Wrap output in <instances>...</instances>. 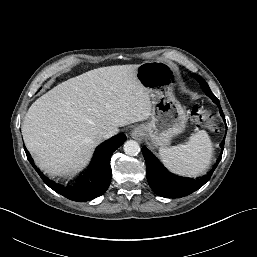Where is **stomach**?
I'll list each match as a JSON object with an SVG mask.
<instances>
[{
	"label": "stomach",
	"instance_id": "obj_1",
	"mask_svg": "<svg viewBox=\"0 0 257 257\" xmlns=\"http://www.w3.org/2000/svg\"><path fill=\"white\" fill-rule=\"evenodd\" d=\"M136 77L150 91L153 104L149 121L136 129L154 147H168L172 138L185 130L188 121L173 93L177 68L166 60L145 61L137 65Z\"/></svg>",
	"mask_w": 257,
	"mask_h": 257
}]
</instances>
